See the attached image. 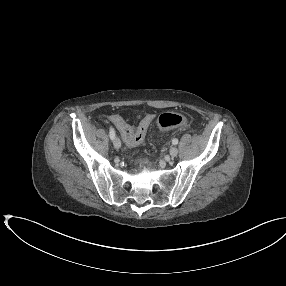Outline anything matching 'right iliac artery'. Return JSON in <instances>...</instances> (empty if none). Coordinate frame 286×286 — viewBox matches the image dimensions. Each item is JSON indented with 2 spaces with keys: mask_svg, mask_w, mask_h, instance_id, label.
I'll use <instances>...</instances> for the list:
<instances>
[{
  "mask_svg": "<svg viewBox=\"0 0 286 286\" xmlns=\"http://www.w3.org/2000/svg\"><path fill=\"white\" fill-rule=\"evenodd\" d=\"M109 136H110L111 140H113L115 138V130L112 126H110V128H109Z\"/></svg>",
  "mask_w": 286,
  "mask_h": 286,
  "instance_id": "obj_1",
  "label": "right iliac artery"
}]
</instances>
